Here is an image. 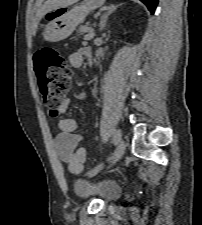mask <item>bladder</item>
Here are the masks:
<instances>
[{
  "label": "bladder",
  "mask_w": 202,
  "mask_h": 225,
  "mask_svg": "<svg viewBox=\"0 0 202 225\" xmlns=\"http://www.w3.org/2000/svg\"><path fill=\"white\" fill-rule=\"evenodd\" d=\"M74 191L80 198H95L99 202L112 203L120 196L119 185L111 180L94 181L81 176L74 183Z\"/></svg>",
  "instance_id": "obj_1"
}]
</instances>
